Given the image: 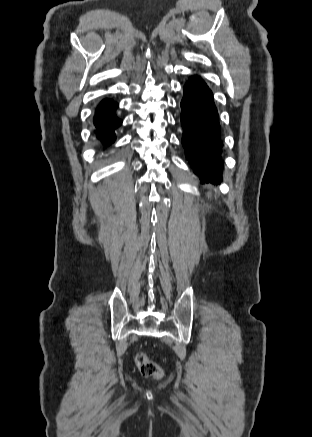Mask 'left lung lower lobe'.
<instances>
[{
  "mask_svg": "<svg viewBox=\"0 0 312 437\" xmlns=\"http://www.w3.org/2000/svg\"><path fill=\"white\" fill-rule=\"evenodd\" d=\"M182 145L194 172L203 181H220L222 159L220 125L213 96L199 78H190L181 101Z\"/></svg>",
  "mask_w": 312,
  "mask_h": 437,
  "instance_id": "obj_1",
  "label": "left lung lower lobe"
}]
</instances>
